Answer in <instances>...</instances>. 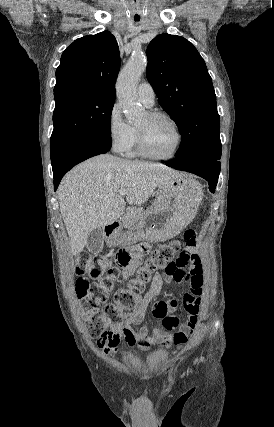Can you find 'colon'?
<instances>
[{
	"mask_svg": "<svg viewBox=\"0 0 274 427\" xmlns=\"http://www.w3.org/2000/svg\"><path fill=\"white\" fill-rule=\"evenodd\" d=\"M180 246L176 242L160 245L149 255L143 267L137 271V277L130 282V286L117 290V301L124 306H133L136 294L142 291L145 283L151 278L152 274L157 271H166L176 261V257L180 253ZM145 254L146 247L144 245H131L127 247L126 251L118 249L116 252L108 254L105 257L108 268L105 274H101L104 291L93 298L85 300L83 306V319L92 337L97 338L98 334L104 329L106 319H115L119 316V310L112 303L106 304L104 309L100 310V305L106 301V293L113 290V286L118 278V272L128 262H135ZM98 260V258H91L87 250H80L77 253L75 271L79 278L74 282V289L77 296L84 297L87 295L88 281L81 276L95 277L98 275L100 272V263ZM179 350L181 351L182 349L180 348ZM171 355L173 356L174 354L172 353ZM178 363L188 364L189 356L179 355Z\"/></svg>",
	"mask_w": 274,
	"mask_h": 427,
	"instance_id": "obj_1",
	"label": "colon"
}]
</instances>
